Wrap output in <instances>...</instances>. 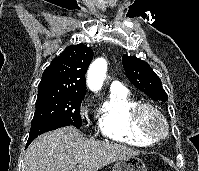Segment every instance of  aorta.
Returning a JSON list of instances; mask_svg holds the SVG:
<instances>
[{"label": "aorta", "mask_w": 199, "mask_h": 171, "mask_svg": "<svg viewBox=\"0 0 199 171\" xmlns=\"http://www.w3.org/2000/svg\"><path fill=\"white\" fill-rule=\"evenodd\" d=\"M107 72V62L98 58L92 62L87 73V85L90 90L97 92L101 90Z\"/></svg>", "instance_id": "762f6f07"}]
</instances>
